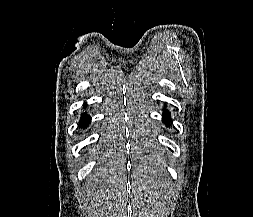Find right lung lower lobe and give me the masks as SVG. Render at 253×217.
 <instances>
[{
    "mask_svg": "<svg viewBox=\"0 0 253 217\" xmlns=\"http://www.w3.org/2000/svg\"><path fill=\"white\" fill-rule=\"evenodd\" d=\"M89 122H90L89 116L86 115V114H83L82 117H81V122H80L79 126L85 128V127L88 126Z\"/></svg>",
    "mask_w": 253,
    "mask_h": 217,
    "instance_id": "98d812e1",
    "label": "right lung lower lobe"
}]
</instances>
